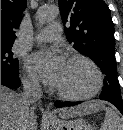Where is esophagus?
I'll use <instances>...</instances> for the list:
<instances>
[{
    "instance_id": "1",
    "label": "esophagus",
    "mask_w": 123,
    "mask_h": 130,
    "mask_svg": "<svg viewBox=\"0 0 123 130\" xmlns=\"http://www.w3.org/2000/svg\"><path fill=\"white\" fill-rule=\"evenodd\" d=\"M44 116L46 118H54V114H53V112L49 108L46 109V111L44 113Z\"/></svg>"
}]
</instances>
